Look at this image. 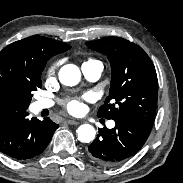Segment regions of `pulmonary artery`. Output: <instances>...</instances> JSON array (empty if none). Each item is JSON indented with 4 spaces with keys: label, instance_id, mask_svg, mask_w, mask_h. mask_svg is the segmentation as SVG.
Segmentation results:
<instances>
[{
    "label": "pulmonary artery",
    "instance_id": "pulmonary-artery-1",
    "mask_svg": "<svg viewBox=\"0 0 183 183\" xmlns=\"http://www.w3.org/2000/svg\"><path fill=\"white\" fill-rule=\"evenodd\" d=\"M82 72L85 78L89 81H96L98 80L103 72V65L100 61L92 60L89 62H85L82 65ZM53 105V102L47 99H39L34 102V109L35 111H41L45 108H49ZM108 126L111 128L114 126L113 122H110Z\"/></svg>",
    "mask_w": 183,
    "mask_h": 183
}]
</instances>
